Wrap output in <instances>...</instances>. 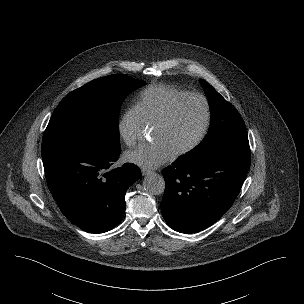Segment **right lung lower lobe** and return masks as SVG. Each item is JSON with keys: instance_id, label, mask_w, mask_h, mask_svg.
<instances>
[{"instance_id": "obj_1", "label": "right lung lower lobe", "mask_w": 304, "mask_h": 304, "mask_svg": "<svg viewBox=\"0 0 304 304\" xmlns=\"http://www.w3.org/2000/svg\"><path fill=\"white\" fill-rule=\"evenodd\" d=\"M121 151L66 146L41 152L45 177L62 213L89 233H103L120 223L127 189L141 177L131 163L111 169Z\"/></svg>"}]
</instances>
